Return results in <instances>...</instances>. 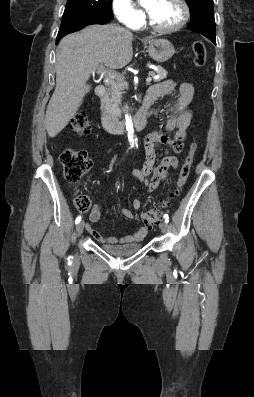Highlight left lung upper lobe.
Here are the masks:
<instances>
[{"mask_svg": "<svg viewBox=\"0 0 254 397\" xmlns=\"http://www.w3.org/2000/svg\"><path fill=\"white\" fill-rule=\"evenodd\" d=\"M191 12L189 25L215 26L213 0H185Z\"/></svg>", "mask_w": 254, "mask_h": 397, "instance_id": "5c2ea615", "label": "left lung upper lobe"}]
</instances>
